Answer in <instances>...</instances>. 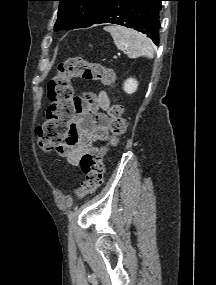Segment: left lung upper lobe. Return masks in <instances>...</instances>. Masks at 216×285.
<instances>
[{
    "mask_svg": "<svg viewBox=\"0 0 216 285\" xmlns=\"http://www.w3.org/2000/svg\"><path fill=\"white\" fill-rule=\"evenodd\" d=\"M60 1L54 30L85 28L92 25L112 0Z\"/></svg>",
    "mask_w": 216,
    "mask_h": 285,
    "instance_id": "1",
    "label": "left lung upper lobe"
}]
</instances>
